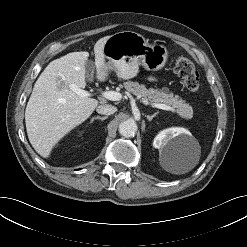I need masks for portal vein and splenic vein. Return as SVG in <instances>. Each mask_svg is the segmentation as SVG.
I'll list each match as a JSON object with an SVG mask.
<instances>
[{"label":"portal vein and splenic vein","mask_w":247,"mask_h":247,"mask_svg":"<svg viewBox=\"0 0 247 247\" xmlns=\"http://www.w3.org/2000/svg\"><path fill=\"white\" fill-rule=\"evenodd\" d=\"M70 88L80 97H89L91 94L88 91H85L83 89L78 88L75 85H70ZM101 96L103 98H106L108 100L111 101H119L122 99V94L119 92H115V91H104L101 93ZM143 103L145 105L148 104L147 100H143ZM153 107L158 108V109H162V110H167V111H174L173 107L168 106L166 104H161V103H154L152 104Z\"/></svg>","instance_id":"portal-vein-and-splenic-vein-1"}]
</instances>
